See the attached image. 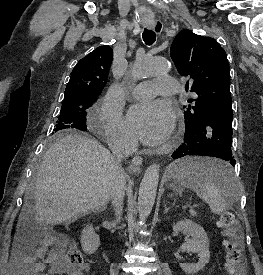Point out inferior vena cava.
<instances>
[{
    "mask_svg": "<svg viewBox=\"0 0 263 275\" xmlns=\"http://www.w3.org/2000/svg\"><path fill=\"white\" fill-rule=\"evenodd\" d=\"M110 147L115 158V165L112 171L110 198L114 206L116 221L120 222L126 188V177L120 163L136 150L137 143L131 135L123 134L117 137Z\"/></svg>",
    "mask_w": 263,
    "mask_h": 275,
    "instance_id": "1",
    "label": "inferior vena cava"
}]
</instances>
